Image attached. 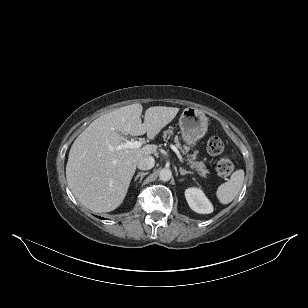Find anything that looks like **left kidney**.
I'll return each mask as SVG.
<instances>
[{
	"mask_svg": "<svg viewBox=\"0 0 308 308\" xmlns=\"http://www.w3.org/2000/svg\"><path fill=\"white\" fill-rule=\"evenodd\" d=\"M185 198L190 208L200 214L213 212V206L203 191L198 188H189L185 191Z\"/></svg>",
	"mask_w": 308,
	"mask_h": 308,
	"instance_id": "5707ae66",
	"label": "left kidney"
}]
</instances>
